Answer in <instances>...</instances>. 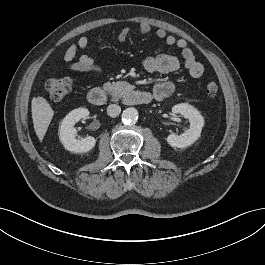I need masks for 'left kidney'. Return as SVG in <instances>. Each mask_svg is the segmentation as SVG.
Instances as JSON below:
<instances>
[{"label": "left kidney", "mask_w": 265, "mask_h": 265, "mask_svg": "<svg viewBox=\"0 0 265 265\" xmlns=\"http://www.w3.org/2000/svg\"><path fill=\"white\" fill-rule=\"evenodd\" d=\"M172 112L174 114H181L185 118H188L190 126L184 134H170L167 137V142L173 148L188 147L200 137L202 128L204 126V119L196 108L187 103L174 105Z\"/></svg>", "instance_id": "5707ae66"}]
</instances>
